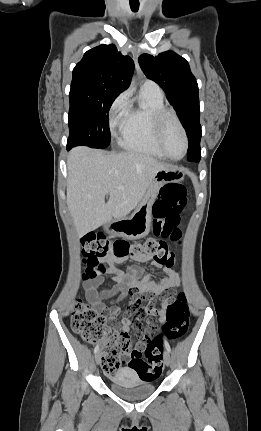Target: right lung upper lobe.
I'll return each mask as SVG.
<instances>
[{"label": "right lung upper lobe", "mask_w": 261, "mask_h": 431, "mask_svg": "<svg viewBox=\"0 0 261 431\" xmlns=\"http://www.w3.org/2000/svg\"><path fill=\"white\" fill-rule=\"evenodd\" d=\"M134 62L111 45L88 50L73 69L72 83H86L121 93L128 88Z\"/></svg>", "instance_id": "obj_1"}]
</instances>
